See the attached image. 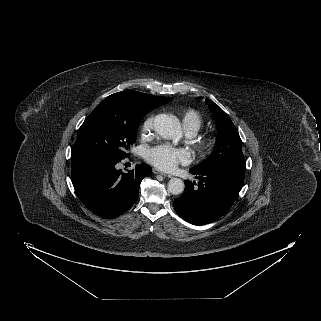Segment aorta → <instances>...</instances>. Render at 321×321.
Segmentation results:
<instances>
[{"label": "aorta", "instance_id": "1", "mask_svg": "<svg viewBox=\"0 0 321 321\" xmlns=\"http://www.w3.org/2000/svg\"><path fill=\"white\" fill-rule=\"evenodd\" d=\"M154 130L164 139L178 140L181 137L179 122L166 114H159L154 118ZM167 187L171 194L178 195L184 191V182L179 178H172Z\"/></svg>", "mask_w": 321, "mask_h": 321}]
</instances>
